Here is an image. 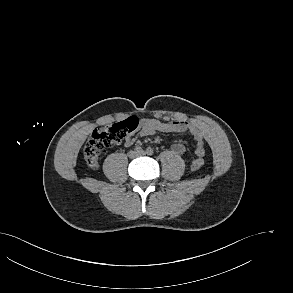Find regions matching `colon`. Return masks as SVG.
Instances as JSON below:
<instances>
[{"mask_svg": "<svg viewBox=\"0 0 293 293\" xmlns=\"http://www.w3.org/2000/svg\"><path fill=\"white\" fill-rule=\"evenodd\" d=\"M137 126V120L135 118H129L124 122L96 129L83 148V157L87 166L96 168L101 151L120 143ZM202 164L203 159H198L192 163L191 170L197 171Z\"/></svg>", "mask_w": 293, "mask_h": 293, "instance_id": "5ec220e1", "label": "colon"}]
</instances>
